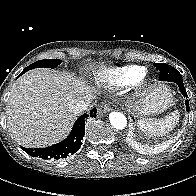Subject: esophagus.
<instances>
[{"mask_svg":"<svg viewBox=\"0 0 196 196\" xmlns=\"http://www.w3.org/2000/svg\"><path fill=\"white\" fill-rule=\"evenodd\" d=\"M98 110H99V113L102 115L105 113H108L111 110L110 104L107 102H103L99 105Z\"/></svg>","mask_w":196,"mask_h":196,"instance_id":"1","label":"esophagus"}]
</instances>
